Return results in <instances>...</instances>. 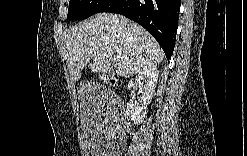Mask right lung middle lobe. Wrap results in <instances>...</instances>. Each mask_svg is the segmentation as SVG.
I'll use <instances>...</instances> for the list:
<instances>
[{
  "label": "right lung middle lobe",
  "mask_w": 247,
  "mask_h": 156,
  "mask_svg": "<svg viewBox=\"0 0 247 156\" xmlns=\"http://www.w3.org/2000/svg\"><path fill=\"white\" fill-rule=\"evenodd\" d=\"M107 0H70L67 19H85L97 13Z\"/></svg>",
  "instance_id": "obj_1"
}]
</instances>
